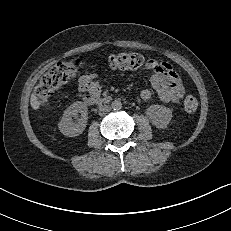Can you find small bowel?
<instances>
[{"instance_id":"obj_1","label":"small bowel","mask_w":231,"mask_h":231,"mask_svg":"<svg viewBox=\"0 0 231 231\" xmlns=\"http://www.w3.org/2000/svg\"><path fill=\"white\" fill-rule=\"evenodd\" d=\"M144 70L151 73V87L162 102H177L183 96L184 87L181 79L170 63L148 59ZM78 88L83 93L98 97L101 93L98 75L95 73L82 75L78 80ZM140 96L143 100H149L152 97V91L147 88L143 89Z\"/></svg>"}]
</instances>
